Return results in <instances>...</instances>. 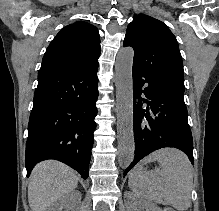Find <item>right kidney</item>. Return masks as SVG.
I'll list each match as a JSON object with an SVG mask.
<instances>
[{
	"label": "right kidney",
	"instance_id": "right-kidney-1",
	"mask_svg": "<svg viewBox=\"0 0 219 211\" xmlns=\"http://www.w3.org/2000/svg\"><path fill=\"white\" fill-rule=\"evenodd\" d=\"M73 193H75V191H73ZM81 197L78 193V197L76 199L77 203L78 201H80ZM68 201H73V197L72 195H69V199ZM67 201L65 199V197H59V199H57V201H55V203H52V205H50L48 211H62V209H64L65 205H66Z\"/></svg>",
	"mask_w": 219,
	"mask_h": 211
}]
</instances>
